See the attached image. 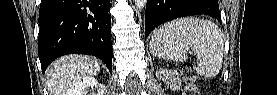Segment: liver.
I'll return each instance as SVG.
<instances>
[{
	"mask_svg": "<svg viewBox=\"0 0 277 95\" xmlns=\"http://www.w3.org/2000/svg\"><path fill=\"white\" fill-rule=\"evenodd\" d=\"M99 71L98 60L89 56L67 55L58 58L46 72L50 95H69L77 82L93 77Z\"/></svg>",
	"mask_w": 277,
	"mask_h": 95,
	"instance_id": "1",
	"label": "liver"
}]
</instances>
